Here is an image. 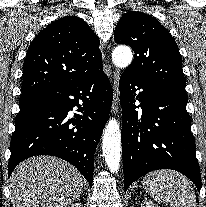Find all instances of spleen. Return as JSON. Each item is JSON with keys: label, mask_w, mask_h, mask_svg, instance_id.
<instances>
[{"label": "spleen", "mask_w": 206, "mask_h": 207, "mask_svg": "<svg viewBox=\"0 0 206 207\" xmlns=\"http://www.w3.org/2000/svg\"><path fill=\"white\" fill-rule=\"evenodd\" d=\"M145 192L156 202L172 207H196V195L190 182L178 172L158 170L143 178Z\"/></svg>", "instance_id": "spleen-1"}]
</instances>
